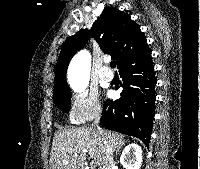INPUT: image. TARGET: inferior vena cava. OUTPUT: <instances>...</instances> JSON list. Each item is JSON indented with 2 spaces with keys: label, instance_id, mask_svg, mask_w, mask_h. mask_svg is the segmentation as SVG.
Here are the masks:
<instances>
[{
  "label": "inferior vena cava",
  "instance_id": "602c4592",
  "mask_svg": "<svg viewBox=\"0 0 200 169\" xmlns=\"http://www.w3.org/2000/svg\"><path fill=\"white\" fill-rule=\"evenodd\" d=\"M99 119H100V113L97 114L94 126L95 129L102 133L101 128L99 126ZM105 145V155L103 157L102 165L99 167V169H112L113 167V149L108 145L106 141H104Z\"/></svg>",
  "mask_w": 200,
  "mask_h": 169
}]
</instances>
